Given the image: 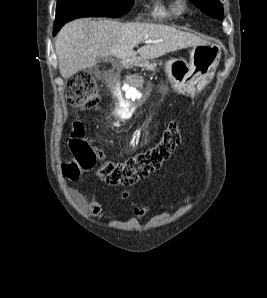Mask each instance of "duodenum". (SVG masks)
Segmentation results:
<instances>
[{
    "label": "duodenum",
    "instance_id": "duodenum-1",
    "mask_svg": "<svg viewBox=\"0 0 267 298\" xmlns=\"http://www.w3.org/2000/svg\"><path fill=\"white\" fill-rule=\"evenodd\" d=\"M134 65H135V61L132 59H127L123 61V66L125 68H130V67H133Z\"/></svg>",
    "mask_w": 267,
    "mask_h": 298
}]
</instances>
